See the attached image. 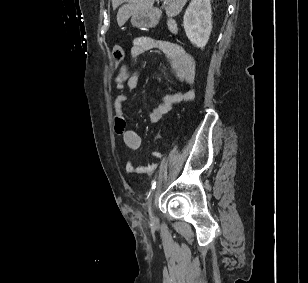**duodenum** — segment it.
<instances>
[{
    "instance_id": "duodenum-1",
    "label": "duodenum",
    "mask_w": 308,
    "mask_h": 283,
    "mask_svg": "<svg viewBox=\"0 0 308 283\" xmlns=\"http://www.w3.org/2000/svg\"><path fill=\"white\" fill-rule=\"evenodd\" d=\"M159 21V15L155 11H150L146 18L143 20V23L147 26H154L158 23ZM168 28L172 33L177 32V24L173 20L168 21Z\"/></svg>"
}]
</instances>
